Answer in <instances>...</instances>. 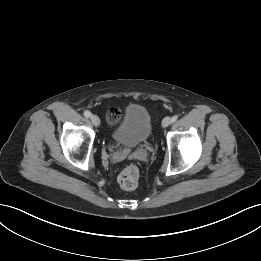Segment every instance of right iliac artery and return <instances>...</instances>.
Here are the masks:
<instances>
[{
	"label": "right iliac artery",
	"instance_id": "obj_1",
	"mask_svg": "<svg viewBox=\"0 0 261 261\" xmlns=\"http://www.w3.org/2000/svg\"><path fill=\"white\" fill-rule=\"evenodd\" d=\"M84 115H85V117H87V118H88V117H90V116H91V112H90V111H85V112H84Z\"/></svg>",
	"mask_w": 261,
	"mask_h": 261
}]
</instances>
